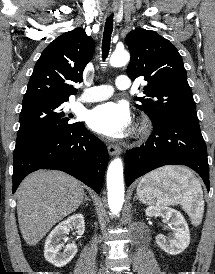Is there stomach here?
I'll return each instance as SVG.
<instances>
[{
  "mask_svg": "<svg viewBox=\"0 0 215 274\" xmlns=\"http://www.w3.org/2000/svg\"><path fill=\"white\" fill-rule=\"evenodd\" d=\"M141 190H142V189H139V190L137 191V195H138L139 199H140L142 202H144V203H148V202L146 201V196L141 194Z\"/></svg>",
  "mask_w": 215,
  "mask_h": 274,
  "instance_id": "stomach-1",
  "label": "stomach"
}]
</instances>
